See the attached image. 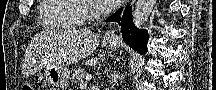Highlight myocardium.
<instances>
[{
	"instance_id": "1",
	"label": "myocardium",
	"mask_w": 216,
	"mask_h": 90,
	"mask_svg": "<svg viewBox=\"0 0 216 90\" xmlns=\"http://www.w3.org/2000/svg\"><path fill=\"white\" fill-rule=\"evenodd\" d=\"M85 9V12L90 18L96 19L101 14L108 12L110 8L100 6L96 1H78ZM95 24H92L91 28H94Z\"/></svg>"
}]
</instances>
